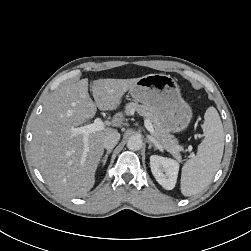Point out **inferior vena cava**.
Returning <instances> with one entry per match:
<instances>
[{
	"instance_id": "inferior-vena-cava-1",
	"label": "inferior vena cava",
	"mask_w": 251,
	"mask_h": 251,
	"mask_svg": "<svg viewBox=\"0 0 251 251\" xmlns=\"http://www.w3.org/2000/svg\"><path fill=\"white\" fill-rule=\"evenodd\" d=\"M120 139V134L116 131L106 136L103 140V146L105 149L110 150L113 149Z\"/></svg>"
}]
</instances>
